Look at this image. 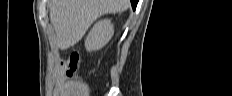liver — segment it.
I'll return each mask as SVG.
<instances>
[{
    "label": "liver",
    "instance_id": "obj_1",
    "mask_svg": "<svg viewBox=\"0 0 232 96\" xmlns=\"http://www.w3.org/2000/svg\"><path fill=\"white\" fill-rule=\"evenodd\" d=\"M130 0H51L50 22L61 50L78 43L91 24L108 13L128 9Z\"/></svg>",
    "mask_w": 232,
    "mask_h": 96
}]
</instances>
